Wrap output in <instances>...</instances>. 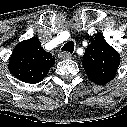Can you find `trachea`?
Returning a JSON list of instances; mask_svg holds the SVG:
<instances>
[{"instance_id":"trachea-1","label":"trachea","mask_w":127,"mask_h":127,"mask_svg":"<svg viewBox=\"0 0 127 127\" xmlns=\"http://www.w3.org/2000/svg\"><path fill=\"white\" fill-rule=\"evenodd\" d=\"M74 47H75L74 42H73V41H68V42L61 48V50L67 51V52H69V53H73Z\"/></svg>"}]
</instances>
